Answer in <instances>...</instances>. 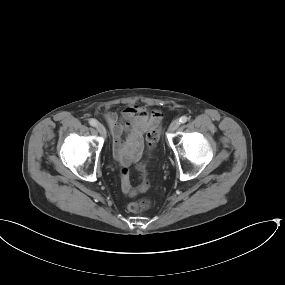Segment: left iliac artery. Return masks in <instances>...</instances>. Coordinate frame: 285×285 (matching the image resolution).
Instances as JSON below:
<instances>
[{"label": "left iliac artery", "mask_w": 285, "mask_h": 285, "mask_svg": "<svg viewBox=\"0 0 285 285\" xmlns=\"http://www.w3.org/2000/svg\"><path fill=\"white\" fill-rule=\"evenodd\" d=\"M188 117L187 116H181L180 118H179V123L180 124H184V123H186L187 121H188Z\"/></svg>", "instance_id": "obj_1"}]
</instances>
